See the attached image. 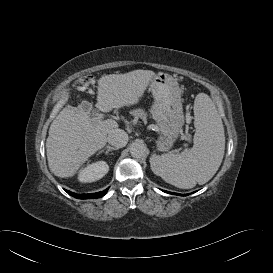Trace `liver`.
<instances>
[{"label": "liver", "instance_id": "1", "mask_svg": "<svg viewBox=\"0 0 273 273\" xmlns=\"http://www.w3.org/2000/svg\"><path fill=\"white\" fill-rule=\"evenodd\" d=\"M155 75L150 70H134L101 77L97 107L112 110L137 104ZM89 114L90 110L82 105H67L51 123L46 148L48 166L54 175L74 176L89 157L105 146L108 133L118 127L114 120H93Z\"/></svg>", "mask_w": 273, "mask_h": 273}]
</instances>
